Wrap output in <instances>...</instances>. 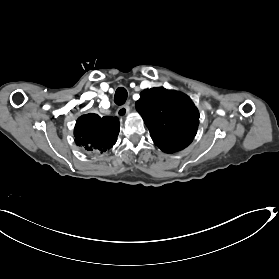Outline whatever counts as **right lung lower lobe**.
I'll return each instance as SVG.
<instances>
[{
	"label": "right lung lower lobe",
	"mask_w": 279,
	"mask_h": 279,
	"mask_svg": "<svg viewBox=\"0 0 279 279\" xmlns=\"http://www.w3.org/2000/svg\"><path fill=\"white\" fill-rule=\"evenodd\" d=\"M119 121L116 117H99L96 114L81 116L74 129L75 142L91 153L105 152L116 142Z\"/></svg>",
	"instance_id": "1"
}]
</instances>
